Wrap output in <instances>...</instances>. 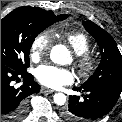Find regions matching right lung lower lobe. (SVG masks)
Listing matches in <instances>:
<instances>
[{"instance_id": "1", "label": "right lung lower lobe", "mask_w": 122, "mask_h": 122, "mask_svg": "<svg viewBox=\"0 0 122 122\" xmlns=\"http://www.w3.org/2000/svg\"><path fill=\"white\" fill-rule=\"evenodd\" d=\"M23 78L19 88L12 86L13 81ZM40 91L27 71H18L1 64V122H21L27 111V97Z\"/></svg>"}]
</instances>
